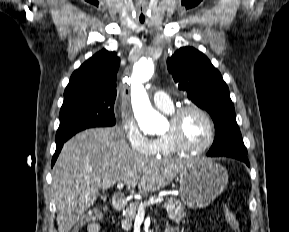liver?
<instances>
[{
	"instance_id": "6515ba94",
	"label": "liver",
	"mask_w": 289,
	"mask_h": 232,
	"mask_svg": "<svg viewBox=\"0 0 289 232\" xmlns=\"http://www.w3.org/2000/svg\"><path fill=\"white\" fill-rule=\"evenodd\" d=\"M191 160L154 159L133 151L118 127L93 128L68 140L53 167L52 195L59 232H69L94 205L100 190L116 183L154 192L167 186Z\"/></svg>"
}]
</instances>
